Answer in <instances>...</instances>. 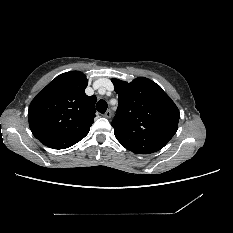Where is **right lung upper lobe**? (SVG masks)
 I'll use <instances>...</instances> for the list:
<instances>
[{
  "instance_id": "1",
  "label": "right lung upper lobe",
  "mask_w": 233,
  "mask_h": 233,
  "mask_svg": "<svg viewBox=\"0 0 233 233\" xmlns=\"http://www.w3.org/2000/svg\"><path fill=\"white\" fill-rule=\"evenodd\" d=\"M88 80L79 71L57 76L32 100L28 121L33 135L53 149L83 139L94 122L96 96H87Z\"/></svg>"
}]
</instances>
